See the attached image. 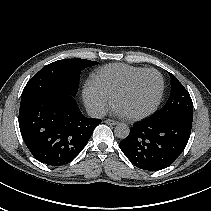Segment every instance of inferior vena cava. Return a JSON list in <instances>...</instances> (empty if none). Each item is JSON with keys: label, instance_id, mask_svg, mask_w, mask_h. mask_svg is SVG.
<instances>
[{"label": "inferior vena cava", "instance_id": "1", "mask_svg": "<svg viewBox=\"0 0 211 211\" xmlns=\"http://www.w3.org/2000/svg\"><path fill=\"white\" fill-rule=\"evenodd\" d=\"M86 111L88 116L92 118H103L106 115V111L103 106H89Z\"/></svg>", "mask_w": 211, "mask_h": 211}]
</instances>
